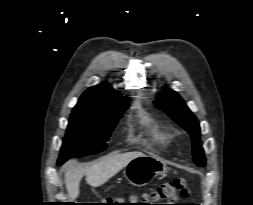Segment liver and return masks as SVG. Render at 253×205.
Masks as SVG:
<instances>
[{
    "mask_svg": "<svg viewBox=\"0 0 253 205\" xmlns=\"http://www.w3.org/2000/svg\"><path fill=\"white\" fill-rule=\"evenodd\" d=\"M143 156L141 152H126L123 154L110 155L90 167L82 168L74 162L65 165L64 183L70 200L79 195V183L86 174V182L92 187L102 186L111 177L136 157Z\"/></svg>",
    "mask_w": 253,
    "mask_h": 205,
    "instance_id": "1",
    "label": "liver"
}]
</instances>
